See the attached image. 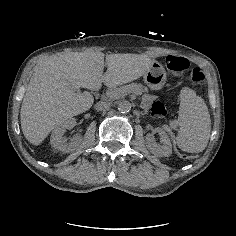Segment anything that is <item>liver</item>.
<instances>
[{
  "instance_id": "obj_1",
  "label": "liver",
  "mask_w": 236,
  "mask_h": 236,
  "mask_svg": "<svg viewBox=\"0 0 236 236\" xmlns=\"http://www.w3.org/2000/svg\"><path fill=\"white\" fill-rule=\"evenodd\" d=\"M104 58L107 71H104ZM142 55L109 54L86 49L83 52L58 53L41 59L27 86L20 110L25 138L39 145L65 121L91 108L97 91L104 83L115 87L138 79L145 73Z\"/></svg>"
}]
</instances>
